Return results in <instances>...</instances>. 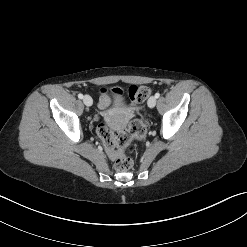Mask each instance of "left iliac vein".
Masks as SVG:
<instances>
[{
    "label": "left iliac vein",
    "mask_w": 247,
    "mask_h": 247,
    "mask_svg": "<svg viewBox=\"0 0 247 247\" xmlns=\"http://www.w3.org/2000/svg\"><path fill=\"white\" fill-rule=\"evenodd\" d=\"M148 106L150 108H153L155 105H156V97L155 96H151L149 99H148V102H147Z\"/></svg>",
    "instance_id": "4c4485c4"
}]
</instances>
